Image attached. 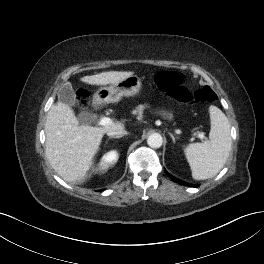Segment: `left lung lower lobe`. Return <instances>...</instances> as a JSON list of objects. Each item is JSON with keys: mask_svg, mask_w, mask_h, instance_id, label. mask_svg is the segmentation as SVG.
I'll list each match as a JSON object with an SVG mask.
<instances>
[{"mask_svg": "<svg viewBox=\"0 0 264 264\" xmlns=\"http://www.w3.org/2000/svg\"><path fill=\"white\" fill-rule=\"evenodd\" d=\"M165 172H166V174H167L172 180H174L175 182H177V183H179V184L187 185V186H194V185L188 184V183H186V182H184V181H182V180H179V179L173 177V176L170 175L166 170H165Z\"/></svg>", "mask_w": 264, "mask_h": 264, "instance_id": "obj_1", "label": "left lung lower lobe"}]
</instances>
